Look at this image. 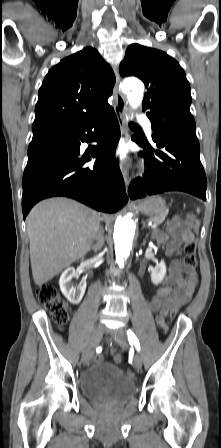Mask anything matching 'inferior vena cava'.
<instances>
[{
  "instance_id": "obj_1",
  "label": "inferior vena cava",
  "mask_w": 221,
  "mask_h": 448,
  "mask_svg": "<svg viewBox=\"0 0 221 448\" xmlns=\"http://www.w3.org/2000/svg\"><path fill=\"white\" fill-rule=\"evenodd\" d=\"M102 234H103V232H102V230L100 229L99 232H98V234H97V236H96V241H97V243L100 245L99 249H100V248L102 247V245H103V236H102Z\"/></svg>"
}]
</instances>
